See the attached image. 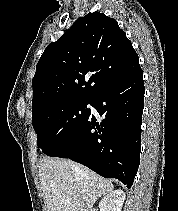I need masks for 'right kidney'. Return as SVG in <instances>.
I'll use <instances>...</instances> for the list:
<instances>
[{"instance_id":"right-kidney-1","label":"right kidney","mask_w":178,"mask_h":211,"mask_svg":"<svg viewBox=\"0 0 178 211\" xmlns=\"http://www.w3.org/2000/svg\"><path fill=\"white\" fill-rule=\"evenodd\" d=\"M125 200L123 190H114L108 193L99 203L100 211H121Z\"/></svg>"}]
</instances>
